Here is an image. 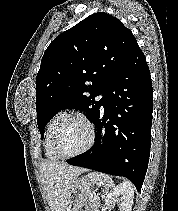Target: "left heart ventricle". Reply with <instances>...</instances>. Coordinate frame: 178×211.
Segmentation results:
<instances>
[{
    "mask_svg": "<svg viewBox=\"0 0 178 211\" xmlns=\"http://www.w3.org/2000/svg\"><path fill=\"white\" fill-rule=\"evenodd\" d=\"M88 141V128L79 120H70L58 135V149L62 154H73L80 151Z\"/></svg>",
    "mask_w": 178,
    "mask_h": 211,
    "instance_id": "1",
    "label": "left heart ventricle"
}]
</instances>
